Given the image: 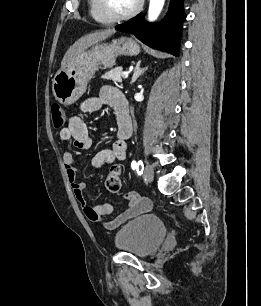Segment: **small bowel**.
<instances>
[{
  "label": "small bowel",
  "instance_id": "obj_1",
  "mask_svg": "<svg viewBox=\"0 0 261 306\" xmlns=\"http://www.w3.org/2000/svg\"><path fill=\"white\" fill-rule=\"evenodd\" d=\"M110 106L114 110L117 123V139L112 148L103 149L97 152L91 164L94 168L100 169L105 164H112L115 161H123L127 157V141L132 134V121L129 115L128 103L124 95L111 86L103 87L97 97L87 99L82 104L84 112H95L103 106ZM59 136L62 140H73L76 148L87 150L92 145V139L87 125L79 116H72L68 126L60 130ZM63 163L70 182L73 194L77 202L82 206L86 217L95 223H101L105 229L113 230L142 213L151 209V201L140 196L136 192H129L125 195L128 207L113 219L105 220L113 212L110 204L90 206L84 198L85 185L77 181V167L74 154L67 151L63 154Z\"/></svg>",
  "mask_w": 261,
  "mask_h": 306
}]
</instances>
